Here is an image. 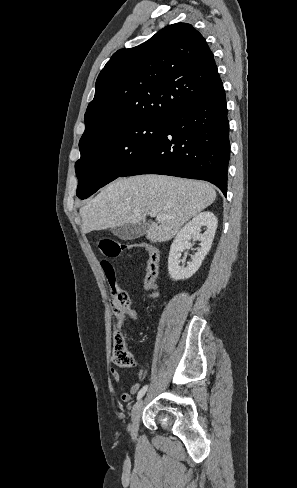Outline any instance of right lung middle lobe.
I'll return each mask as SVG.
<instances>
[{"instance_id":"1","label":"right lung middle lobe","mask_w":297,"mask_h":488,"mask_svg":"<svg viewBox=\"0 0 297 488\" xmlns=\"http://www.w3.org/2000/svg\"><path fill=\"white\" fill-rule=\"evenodd\" d=\"M168 119H146L120 127L88 142L75 163L79 180L77 196L88 198L100 187L120 177L158 139Z\"/></svg>"}]
</instances>
